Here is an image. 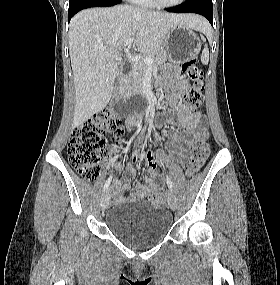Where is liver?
<instances>
[{"mask_svg": "<svg viewBox=\"0 0 280 285\" xmlns=\"http://www.w3.org/2000/svg\"><path fill=\"white\" fill-rule=\"evenodd\" d=\"M175 25L200 30L203 18L169 14L130 5L86 9L70 22L69 52L75 87L73 127H78L109 103L119 73L123 44L135 38L133 49L144 54L160 49Z\"/></svg>", "mask_w": 280, "mask_h": 285, "instance_id": "1", "label": "liver"}]
</instances>
